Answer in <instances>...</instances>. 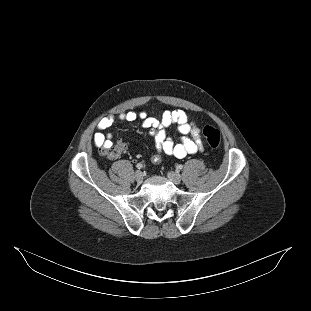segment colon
<instances>
[{
  "label": "colon",
  "mask_w": 311,
  "mask_h": 311,
  "mask_svg": "<svg viewBox=\"0 0 311 311\" xmlns=\"http://www.w3.org/2000/svg\"><path fill=\"white\" fill-rule=\"evenodd\" d=\"M202 134L212 149L217 150L219 148L221 134L217 128L209 125L204 126L202 128ZM126 147V142L121 139L114 144L102 147L100 152L105 158L112 160L121 156L125 152Z\"/></svg>",
  "instance_id": "obj_1"
}]
</instances>
